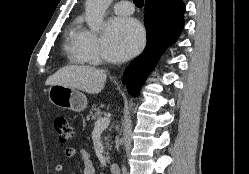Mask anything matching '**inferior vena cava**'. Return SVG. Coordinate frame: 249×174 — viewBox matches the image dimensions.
I'll list each match as a JSON object with an SVG mask.
<instances>
[{"label":"inferior vena cava","instance_id":"obj_1","mask_svg":"<svg viewBox=\"0 0 249 174\" xmlns=\"http://www.w3.org/2000/svg\"><path fill=\"white\" fill-rule=\"evenodd\" d=\"M122 171H123V173H122V174H125V168H124V167H123Z\"/></svg>","mask_w":249,"mask_h":174}]
</instances>
